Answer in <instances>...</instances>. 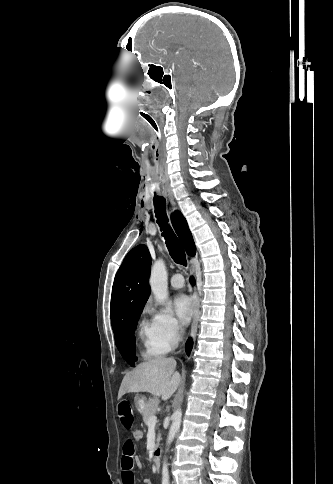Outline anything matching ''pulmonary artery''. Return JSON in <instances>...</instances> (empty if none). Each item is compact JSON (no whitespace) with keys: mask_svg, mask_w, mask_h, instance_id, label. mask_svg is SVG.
<instances>
[{"mask_svg":"<svg viewBox=\"0 0 333 484\" xmlns=\"http://www.w3.org/2000/svg\"><path fill=\"white\" fill-rule=\"evenodd\" d=\"M170 281L175 289H180L184 286V278L181 273H174Z\"/></svg>","mask_w":333,"mask_h":484,"instance_id":"pulmonary-artery-1","label":"pulmonary artery"}]
</instances>
